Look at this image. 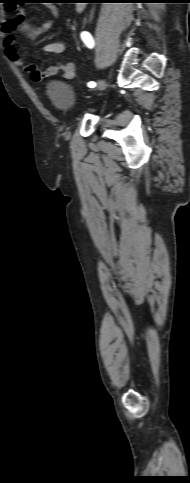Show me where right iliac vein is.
Listing matches in <instances>:
<instances>
[{"label": "right iliac vein", "instance_id": "63e3f726", "mask_svg": "<svg viewBox=\"0 0 190 483\" xmlns=\"http://www.w3.org/2000/svg\"><path fill=\"white\" fill-rule=\"evenodd\" d=\"M104 87H105V80H100L96 88V91H101Z\"/></svg>", "mask_w": 190, "mask_h": 483}]
</instances>
